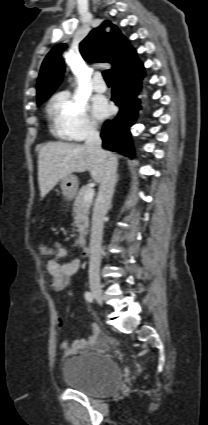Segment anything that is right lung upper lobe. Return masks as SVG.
Listing matches in <instances>:
<instances>
[{
  "instance_id": "cb5924a9",
  "label": "right lung upper lobe",
  "mask_w": 208,
  "mask_h": 425,
  "mask_svg": "<svg viewBox=\"0 0 208 425\" xmlns=\"http://www.w3.org/2000/svg\"><path fill=\"white\" fill-rule=\"evenodd\" d=\"M65 44L55 46L44 59L37 81V101L49 97L61 83L65 65L61 53ZM80 53L88 62H108L111 76L131 68L137 61L136 51L110 21L93 29L80 43Z\"/></svg>"
}]
</instances>
